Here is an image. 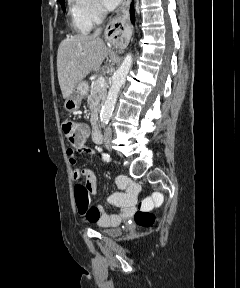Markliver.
Returning a JSON list of instances; mask_svg holds the SVG:
<instances>
[{
	"label": "liver",
	"mask_w": 240,
	"mask_h": 288,
	"mask_svg": "<svg viewBox=\"0 0 240 288\" xmlns=\"http://www.w3.org/2000/svg\"><path fill=\"white\" fill-rule=\"evenodd\" d=\"M110 50L100 38L91 35L67 36L59 45L57 71L64 99L92 70L100 68Z\"/></svg>",
	"instance_id": "6515ba94"
}]
</instances>
